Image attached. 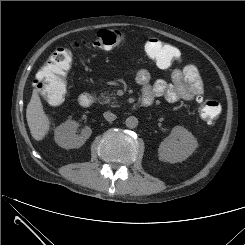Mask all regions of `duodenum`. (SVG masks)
Returning <instances> with one entry per match:
<instances>
[{
    "label": "duodenum",
    "mask_w": 245,
    "mask_h": 245,
    "mask_svg": "<svg viewBox=\"0 0 245 245\" xmlns=\"http://www.w3.org/2000/svg\"><path fill=\"white\" fill-rule=\"evenodd\" d=\"M79 104L80 106L87 108L90 107L93 102H94V96L90 93H83L79 96ZM151 104V100L150 99H142L141 100V106L142 107H147Z\"/></svg>",
    "instance_id": "410a0bca"
}]
</instances>
